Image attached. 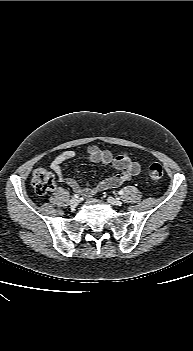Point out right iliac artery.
Segmentation results:
<instances>
[{
  "mask_svg": "<svg viewBox=\"0 0 193 351\" xmlns=\"http://www.w3.org/2000/svg\"><path fill=\"white\" fill-rule=\"evenodd\" d=\"M73 198H79L78 194H74Z\"/></svg>",
  "mask_w": 193,
  "mask_h": 351,
  "instance_id": "obj_1",
  "label": "right iliac artery"
}]
</instances>
